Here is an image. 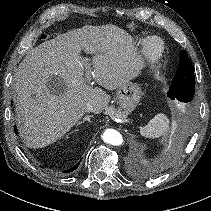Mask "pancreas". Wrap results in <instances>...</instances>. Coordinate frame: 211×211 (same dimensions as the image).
I'll return each mask as SVG.
<instances>
[{"instance_id":"pancreas-1","label":"pancreas","mask_w":211,"mask_h":211,"mask_svg":"<svg viewBox=\"0 0 211 211\" xmlns=\"http://www.w3.org/2000/svg\"><path fill=\"white\" fill-rule=\"evenodd\" d=\"M108 113L111 116H114V117H117V118H121L123 120H127V115L123 111H121L120 109L110 108L108 110Z\"/></svg>"}]
</instances>
